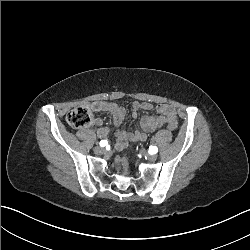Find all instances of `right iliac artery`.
I'll return each mask as SVG.
<instances>
[{
    "mask_svg": "<svg viewBox=\"0 0 250 250\" xmlns=\"http://www.w3.org/2000/svg\"><path fill=\"white\" fill-rule=\"evenodd\" d=\"M107 144H108V141H107V140H101V141H100V146H101V147H105Z\"/></svg>",
    "mask_w": 250,
    "mask_h": 250,
    "instance_id": "1",
    "label": "right iliac artery"
}]
</instances>
